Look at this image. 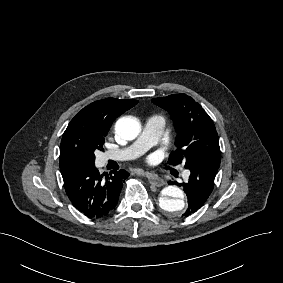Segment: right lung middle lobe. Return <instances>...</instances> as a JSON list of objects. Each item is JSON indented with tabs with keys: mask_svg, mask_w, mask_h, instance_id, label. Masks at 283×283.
Segmentation results:
<instances>
[{
	"mask_svg": "<svg viewBox=\"0 0 283 283\" xmlns=\"http://www.w3.org/2000/svg\"><path fill=\"white\" fill-rule=\"evenodd\" d=\"M107 133L97 127L68 125L60 145V169L73 164L94 163V152L103 149Z\"/></svg>",
	"mask_w": 283,
	"mask_h": 283,
	"instance_id": "dd1d6c3e",
	"label": "right lung middle lobe"
}]
</instances>
